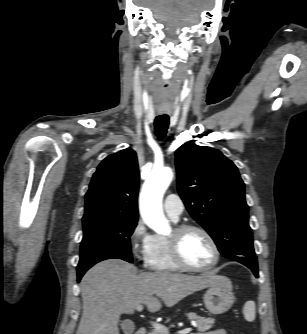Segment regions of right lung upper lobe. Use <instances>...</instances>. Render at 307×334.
<instances>
[{
	"mask_svg": "<svg viewBox=\"0 0 307 334\" xmlns=\"http://www.w3.org/2000/svg\"><path fill=\"white\" fill-rule=\"evenodd\" d=\"M139 171L136 153L127 148L106 157L85 195L83 218L138 220Z\"/></svg>",
	"mask_w": 307,
	"mask_h": 334,
	"instance_id": "right-lung-upper-lobe-1",
	"label": "right lung upper lobe"
}]
</instances>
